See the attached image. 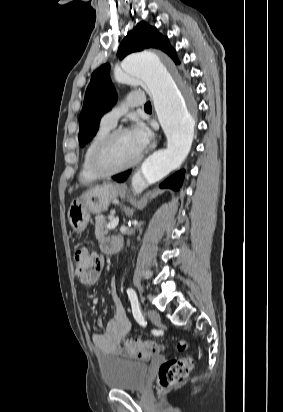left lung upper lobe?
<instances>
[{
	"label": "left lung upper lobe",
	"instance_id": "left-lung-upper-lobe-1",
	"mask_svg": "<svg viewBox=\"0 0 283 412\" xmlns=\"http://www.w3.org/2000/svg\"><path fill=\"white\" fill-rule=\"evenodd\" d=\"M147 48L160 49L169 55L176 64H179L175 50L171 47L168 38L162 36L155 27L146 22H140L130 31L122 41L118 55L123 59L132 52ZM117 95L109 77V65L104 64L91 76V81L85 93L83 108L79 116V144L84 146L92 140L98 131L99 118L116 102Z\"/></svg>",
	"mask_w": 283,
	"mask_h": 412
}]
</instances>
